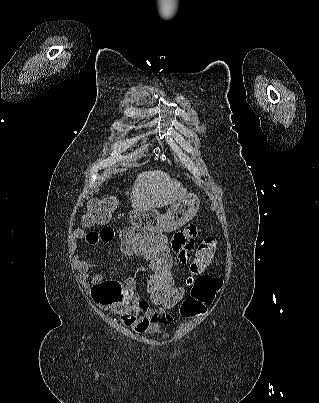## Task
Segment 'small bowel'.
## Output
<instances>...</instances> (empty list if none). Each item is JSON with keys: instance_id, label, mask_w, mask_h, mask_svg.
I'll return each mask as SVG.
<instances>
[{"instance_id": "1", "label": "small bowel", "mask_w": 319, "mask_h": 403, "mask_svg": "<svg viewBox=\"0 0 319 403\" xmlns=\"http://www.w3.org/2000/svg\"><path fill=\"white\" fill-rule=\"evenodd\" d=\"M199 231V224H186L171 236L169 247L174 261L185 263L190 260ZM75 237H84L86 249H105L106 246L112 245V238L116 237V230L112 224H100L99 229L76 231ZM125 249L126 243H123V253L126 251ZM72 265L78 272L80 282L88 285L89 271L93 267V263L76 254L72 257ZM190 277L186 280L187 286L192 285L191 282L187 284ZM148 281L149 279H147V287ZM91 283L90 300H94V308L102 309V314L107 315L112 324H125L136 334L149 335L161 332L162 319L167 321L173 319L170 313H160L159 304H152L154 307H150L149 302L140 299L135 289V276L126 278L124 283L123 279L103 278L101 274H95L91 277ZM182 288L181 298L185 293V288ZM187 296H193L192 292ZM180 303L177 308H181Z\"/></svg>"}]
</instances>
